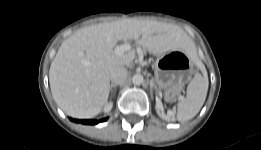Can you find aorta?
<instances>
[{"label":"aorta","instance_id":"1","mask_svg":"<svg viewBox=\"0 0 261 150\" xmlns=\"http://www.w3.org/2000/svg\"><path fill=\"white\" fill-rule=\"evenodd\" d=\"M144 81V78L141 74H135L132 77V82L134 85H141Z\"/></svg>","mask_w":261,"mask_h":150}]
</instances>
